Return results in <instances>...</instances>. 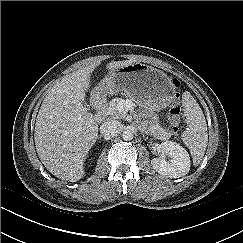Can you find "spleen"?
I'll return each instance as SVG.
<instances>
[{
  "mask_svg": "<svg viewBox=\"0 0 243 243\" xmlns=\"http://www.w3.org/2000/svg\"><path fill=\"white\" fill-rule=\"evenodd\" d=\"M182 106L187 123L182 140L190 150L194 165H198L205 154L208 143L205 116L199 104L187 91L182 95Z\"/></svg>",
  "mask_w": 243,
  "mask_h": 243,
  "instance_id": "obj_1",
  "label": "spleen"
}]
</instances>
